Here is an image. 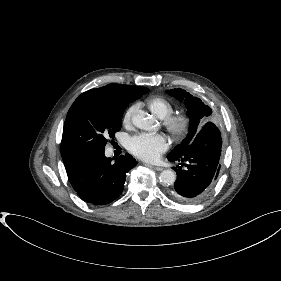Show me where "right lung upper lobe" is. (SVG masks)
I'll use <instances>...</instances> for the list:
<instances>
[{"mask_svg": "<svg viewBox=\"0 0 281 281\" xmlns=\"http://www.w3.org/2000/svg\"><path fill=\"white\" fill-rule=\"evenodd\" d=\"M147 90L145 87L121 85V84H109L104 87L90 90L103 99L118 102H127L135 99L141 92ZM136 100V99H135Z\"/></svg>", "mask_w": 281, "mask_h": 281, "instance_id": "1", "label": "right lung upper lobe"}]
</instances>
